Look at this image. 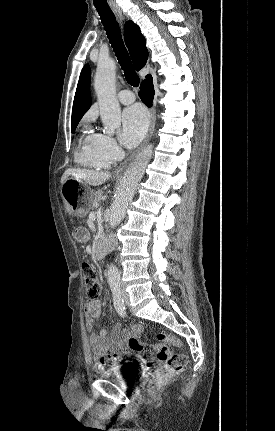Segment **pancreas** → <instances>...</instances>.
<instances>
[{
    "mask_svg": "<svg viewBox=\"0 0 275 431\" xmlns=\"http://www.w3.org/2000/svg\"><path fill=\"white\" fill-rule=\"evenodd\" d=\"M102 195H103L102 191H97L95 193V197H94V200L92 202V208L96 207L99 204L100 200L102 199Z\"/></svg>",
    "mask_w": 275,
    "mask_h": 431,
    "instance_id": "pancreas-1",
    "label": "pancreas"
}]
</instances>
